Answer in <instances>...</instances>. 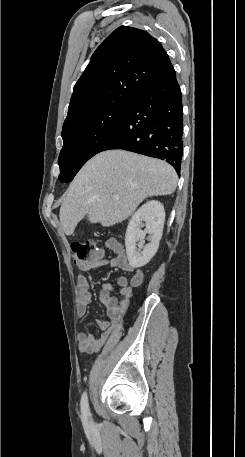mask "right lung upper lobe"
<instances>
[{
	"label": "right lung upper lobe",
	"instance_id": "obj_1",
	"mask_svg": "<svg viewBox=\"0 0 245 457\" xmlns=\"http://www.w3.org/2000/svg\"><path fill=\"white\" fill-rule=\"evenodd\" d=\"M175 74L161 44L146 31L121 26L96 49L74 86L66 121L114 101H133L148 85Z\"/></svg>",
	"mask_w": 245,
	"mask_h": 457
}]
</instances>
